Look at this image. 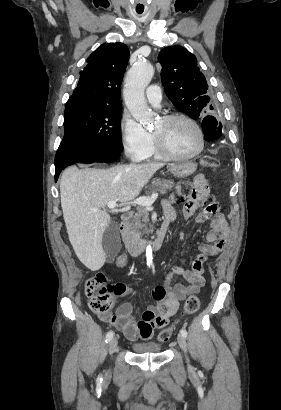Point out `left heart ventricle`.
I'll list each match as a JSON object with an SVG mask.
<instances>
[{"label":"left heart ventricle","instance_id":"obj_1","mask_svg":"<svg viewBox=\"0 0 281 410\" xmlns=\"http://www.w3.org/2000/svg\"><path fill=\"white\" fill-rule=\"evenodd\" d=\"M153 133L159 136L175 154H191L199 146V137L196 129L189 122L182 119L169 123H164L160 120Z\"/></svg>","mask_w":281,"mask_h":410}]
</instances>
